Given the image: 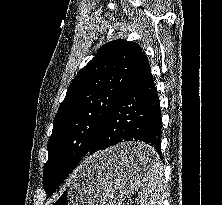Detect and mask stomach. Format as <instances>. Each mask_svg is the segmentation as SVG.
<instances>
[{
    "instance_id": "stomach-1",
    "label": "stomach",
    "mask_w": 222,
    "mask_h": 205,
    "mask_svg": "<svg viewBox=\"0 0 222 205\" xmlns=\"http://www.w3.org/2000/svg\"><path fill=\"white\" fill-rule=\"evenodd\" d=\"M137 150L153 152L144 143L130 142L90 156L49 205H121L143 185L151 167L123 160L127 153Z\"/></svg>"
}]
</instances>
